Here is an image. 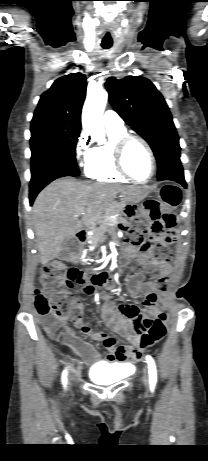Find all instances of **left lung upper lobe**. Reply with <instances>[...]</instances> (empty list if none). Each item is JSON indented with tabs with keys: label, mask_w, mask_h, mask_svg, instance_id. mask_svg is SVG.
Here are the masks:
<instances>
[{
	"label": "left lung upper lobe",
	"mask_w": 208,
	"mask_h": 461,
	"mask_svg": "<svg viewBox=\"0 0 208 461\" xmlns=\"http://www.w3.org/2000/svg\"><path fill=\"white\" fill-rule=\"evenodd\" d=\"M106 88L115 111L151 146L158 163L157 177L181 164L176 128L155 85L141 76L110 77Z\"/></svg>",
	"instance_id": "5c2ea615"
}]
</instances>
